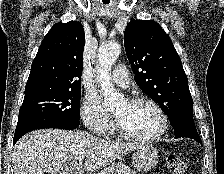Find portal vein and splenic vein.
Here are the masks:
<instances>
[{
	"label": "portal vein and splenic vein",
	"instance_id": "obj_1",
	"mask_svg": "<svg viewBox=\"0 0 224 174\" xmlns=\"http://www.w3.org/2000/svg\"><path fill=\"white\" fill-rule=\"evenodd\" d=\"M84 157L77 158L78 162L81 163L83 161Z\"/></svg>",
	"mask_w": 224,
	"mask_h": 174
}]
</instances>
